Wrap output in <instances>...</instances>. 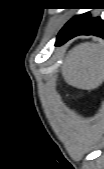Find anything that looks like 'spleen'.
<instances>
[{
	"instance_id": "1",
	"label": "spleen",
	"mask_w": 104,
	"mask_h": 169,
	"mask_svg": "<svg viewBox=\"0 0 104 169\" xmlns=\"http://www.w3.org/2000/svg\"><path fill=\"white\" fill-rule=\"evenodd\" d=\"M62 76L69 85L84 90L99 87L104 77V56L100 43L75 46L65 57Z\"/></svg>"
}]
</instances>
